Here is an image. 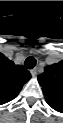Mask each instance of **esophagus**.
Returning a JSON list of instances; mask_svg holds the SVG:
<instances>
[{
    "instance_id": "esophagus-1",
    "label": "esophagus",
    "mask_w": 63,
    "mask_h": 123,
    "mask_svg": "<svg viewBox=\"0 0 63 123\" xmlns=\"http://www.w3.org/2000/svg\"><path fill=\"white\" fill-rule=\"evenodd\" d=\"M32 76H36L37 75V68H33L31 71Z\"/></svg>"
}]
</instances>
